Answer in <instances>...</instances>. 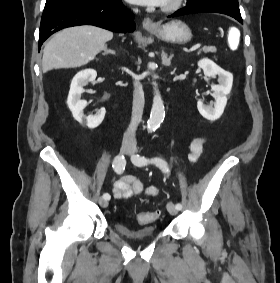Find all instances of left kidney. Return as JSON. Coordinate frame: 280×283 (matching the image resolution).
<instances>
[{
  "label": "left kidney",
  "mask_w": 280,
  "mask_h": 283,
  "mask_svg": "<svg viewBox=\"0 0 280 283\" xmlns=\"http://www.w3.org/2000/svg\"><path fill=\"white\" fill-rule=\"evenodd\" d=\"M198 66L203 69L205 76L209 78L218 76L219 84L212 85L215 102L210 105H205L201 100L197 102L199 113L207 120L215 121L224 112L227 104V95L230 93L233 84V75L207 58L201 59L198 62Z\"/></svg>",
  "instance_id": "obj_1"
}]
</instances>
